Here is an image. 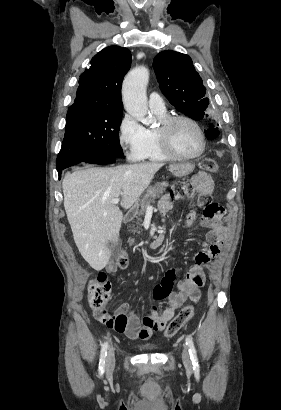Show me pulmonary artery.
Returning <instances> with one entry per match:
<instances>
[{
  "mask_svg": "<svg viewBox=\"0 0 281 410\" xmlns=\"http://www.w3.org/2000/svg\"><path fill=\"white\" fill-rule=\"evenodd\" d=\"M148 104H149L150 109L153 111L162 112L166 110L164 100L160 96V94L157 92H151L149 94Z\"/></svg>",
  "mask_w": 281,
  "mask_h": 410,
  "instance_id": "pulmonary-artery-1",
  "label": "pulmonary artery"
}]
</instances>
